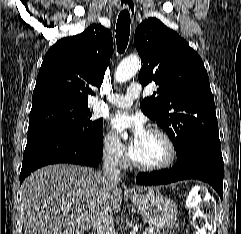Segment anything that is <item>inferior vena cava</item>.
I'll list each match as a JSON object with an SVG mask.
<instances>
[{"label":"inferior vena cava","instance_id":"1","mask_svg":"<svg viewBox=\"0 0 241 234\" xmlns=\"http://www.w3.org/2000/svg\"><path fill=\"white\" fill-rule=\"evenodd\" d=\"M103 178L109 181L111 185H115L121 180L118 158L116 157L113 145L108 146L104 153ZM92 234H115L112 213H101L96 218Z\"/></svg>","mask_w":241,"mask_h":234}]
</instances>
